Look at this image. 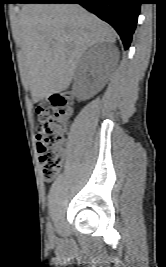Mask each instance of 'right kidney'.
Listing matches in <instances>:
<instances>
[{
    "mask_svg": "<svg viewBox=\"0 0 166 267\" xmlns=\"http://www.w3.org/2000/svg\"><path fill=\"white\" fill-rule=\"evenodd\" d=\"M106 58V49L102 44H96L91 47L84 55L81 61V70L76 79L75 90L81 100L89 99L100 89L99 75L102 73ZM92 68L93 75L90 78L86 72Z\"/></svg>",
    "mask_w": 166,
    "mask_h": 267,
    "instance_id": "right-kidney-1",
    "label": "right kidney"
}]
</instances>
